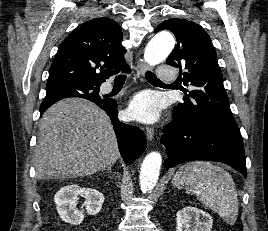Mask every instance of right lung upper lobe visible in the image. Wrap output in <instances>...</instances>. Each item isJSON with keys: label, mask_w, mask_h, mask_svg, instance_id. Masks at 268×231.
<instances>
[{"label": "right lung upper lobe", "mask_w": 268, "mask_h": 231, "mask_svg": "<svg viewBox=\"0 0 268 231\" xmlns=\"http://www.w3.org/2000/svg\"><path fill=\"white\" fill-rule=\"evenodd\" d=\"M122 38L120 25L107 17L95 18L79 25L59 46L49 70L47 84L79 81L100 86L126 65V49L121 45ZM55 102L43 101L40 111H45Z\"/></svg>", "instance_id": "1"}]
</instances>
